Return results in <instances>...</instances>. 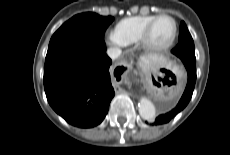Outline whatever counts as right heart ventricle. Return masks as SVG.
Returning <instances> with one entry per match:
<instances>
[{
    "mask_svg": "<svg viewBox=\"0 0 230 155\" xmlns=\"http://www.w3.org/2000/svg\"><path fill=\"white\" fill-rule=\"evenodd\" d=\"M156 16L139 15L125 18L117 23L114 32L126 45L140 42L144 29Z\"/></svg>",
    "mask_w": 230,
    "mask_h": 155,
    "instance_id": "obj_1",
    "label": "right heart ventricle"
}]
</instances>
